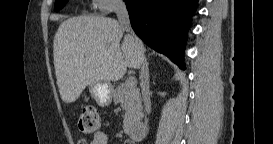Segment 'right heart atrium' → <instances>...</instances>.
<instances>
[{
  "mask_svg": "<svg viewBox=\"0 0 273 144\" xmlns=\"http://www.w3.org/2000/svg\"><path fill=\"white\" fill-rule=\"evenodd\" d=\"M123 5L122 0H94L96 10L101 13H110Z\"/></svg>",
  "mask_w": 273,
  "mask_h": 144,
  "instance_id": "1",
  "label": "right heart atrium"
}]
</instances>
